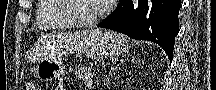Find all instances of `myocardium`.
<instances>
[{"label":"myocardium","instance_id":"f54148a6","mask_svg":"<svg viewBox=\"0 0 216 90\" xmlns=\"http://www.w3.org/2000/svg\"><path fill=\"white\" fill-rule=\"evenodd\" d=\"M75 1H93V0H65L63 2L61 14H65L64 18H68L74 28H94L95 24L104 20L108 14V6L104 1H101V6L98 14L91 19H80L74 15L75 8H73Z\"/></svg>","mask_w":216,"mask_h":90}]
</instances>
